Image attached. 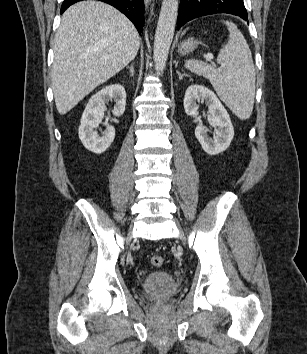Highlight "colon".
Listing matches in <instances>:
<instances>
[{"instance_id":"obj_1","label":"colon","mask_w":307,"mask_h":354,"mask_svg":"<svg viewBox=\"0 0 307 354\" xmlns=\"http://www.w3.org/2000/svg\"><path fill=\"white\" fill-rule=\"evenodd\" d=\"M151 263L155 267H161L164 264V258L160 255H153L151 257Z\"/></svg>"}]
</instances>
